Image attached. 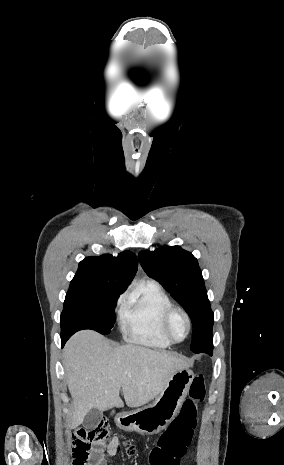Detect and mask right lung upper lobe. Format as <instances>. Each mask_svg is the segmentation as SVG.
<instances>
[{
	"mask_svg": "<svg viewBox=\"0 0 284 465\" xmlns=\"http://www.w3.org/2000/svg\"><path fill=\"white\" fill-rule=\"evenodd\" d=\"M138 267L136 256L125 251L117 257L110 254L86 257L71 282H86L123 292L134 278Z\"/></svg>",
	"mask_w": 284,
	"mask_h": 465,
	"instance_id": "cb5924a9",
	"label": "right lung upper lobe"
}]
</instances>
